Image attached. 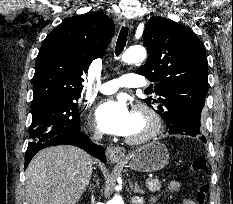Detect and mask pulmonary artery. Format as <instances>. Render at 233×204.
Listing matches in <instances>:
<instances>
[{"instance_id": "obj_1", "label": "pulmonary artery", "mask_w": 233, "mask_h": 204, "mask_svg": "<svg viewBox=\"0 0 233 204\" xmlns=\"http://www.w3.org/2000/svg\"><path fill=\"white\" fill-rule=\"evenodd\" d=\"M147 86V82L139 75L125 74L119 79H113L103 83L99 87V91L103 94L115 93L121 87L142 88Z\"/></svg>"}]
</instances>
